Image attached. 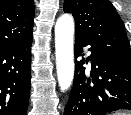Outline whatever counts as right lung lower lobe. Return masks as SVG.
Wrapping results in <instances>:
<instances>
[{"label":"right lung lower lobe","instance_id":"obj_1","mask_svg":"<svg viewBox=\"0 0 131 115\" xmlns=\"http://www.w3.org/2000/svg\"><path fill=\"white\" fill-rule=\"evenodd\" d=\"M32 38L0 50V115H26L31 84Z\"/></svg>","mask_w":131,"mask_h":115}]
</instances>
